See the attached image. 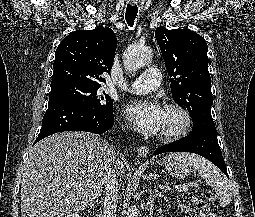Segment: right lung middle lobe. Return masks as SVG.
I'll return each mask as SVG.
<instances>
[{
    "instance_id": "1",
    "label": "right lung middle lobe",
    "mask_w": 255,
    "mask_h": 217,
    "mask_svg": "<svg viewBox=\"0 0 255 217\" xmlns=\"http://www.w3.org/2000/svg\"><path fill=\"white\" fill-rule=\"evenodd\" d=\"M100 87L80 84H63L51 87L49 101L55 99H67L99 111H113L111 97L103 92L98 94Z\"/></svg>"
}]
</instances>
